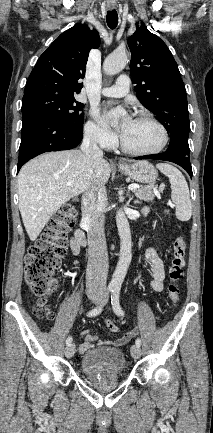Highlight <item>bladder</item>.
Returning <instances> with one entry per match:
<instances>
[{"instance_id":"1","label":"bladder","mask_w":213,"mask_h":433,"mask_svg":"<svg viewBox=\"0 0 213 433\" xmlns=\"http://www.w3.org/2000/svg\"><path fill=\"white\" fill-rule=\"evenodd\" d=\"M126 361L123 351L116 347H97L86 352L80 360V371L89 378H106L123 374Z\"/></svg>"}]
</instances>
